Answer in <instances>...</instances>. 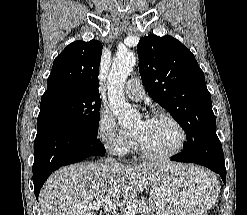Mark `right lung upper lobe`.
<instances>
[{"label":"right lung upper lobe","instance_id":"right-lung-upper-lobe-1","mask_svg":"<svg viewBox=\"0 0 247 215\" xmlns=\"http://www.w3.org/2000/svg\"><path fill=\"white\" fill-rule=\"evenodd\" d=\"M101 53L102 44L96 40L69 44L54 60L47 91L66 88L100 96L97 89Z\"/></svg>","mask_w":247,"mask_h":215}]
</instances>
